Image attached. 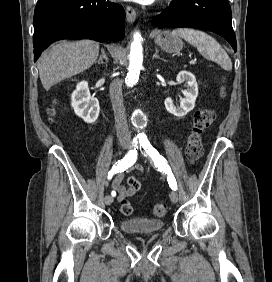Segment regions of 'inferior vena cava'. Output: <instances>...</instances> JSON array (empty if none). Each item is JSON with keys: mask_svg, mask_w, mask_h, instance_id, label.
Listing matches in <instances>:
<instances>
[{"mask_svg": "<svg viewBox=\"0 0 272 282\" xmlns=\"http://www.w3.org/2000/svg\"><path fill=\"white\" fill-rule=\"evenodd\" d=\"M109 93L115 116L117 137L120 141L130 140L131 136L124 112L122 84L119 80H114L110 84Z\"/></svg>", "mask_w": 272, "mask_h": 282, "instance_id": "1", "label": "inferior vena cava"}]
</instances>
